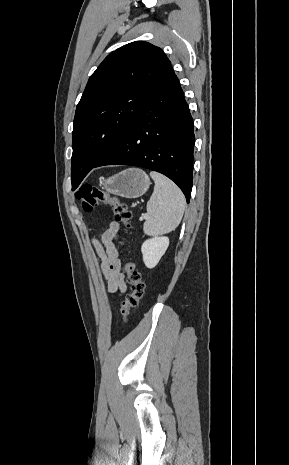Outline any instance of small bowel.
<instances>
[{
    "label": "small bowel",
    "instance_id": "c3829d8e",
    "mask_svg": "<svg viewBox=\"0 0 289 465\" xmlns=\"http://www.w3.org/2000/svg\"><path fill=\"white\" fill-rule=\"evenodd\" d=\"M119 226L112 222L110 227L102 234L101 240H94L93 246L101 260V269L104 275L107 291L111 294L122 293L126 290L124 275L121 271V262L114 243V236Z\"/></svg>",
    "mask_w": 289,
    "mask_h": 465
}]
</instances>
